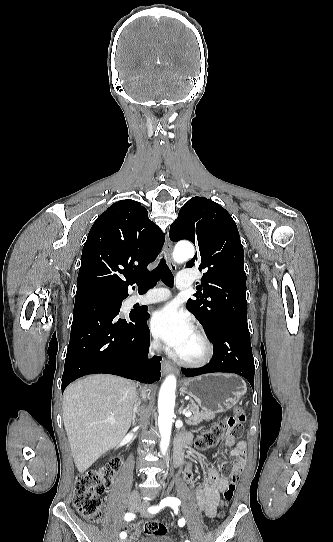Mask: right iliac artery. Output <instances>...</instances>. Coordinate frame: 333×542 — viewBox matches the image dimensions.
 <instances>
[{"label":"right iliac artery","instance_id":"right-iliac-artery-1","mask_svg":"<svg viewBox=\"0 0 333 542\" xmlns=\"http://www.w3.org/2000/svg\"><path fill=\"white\" fill-rule=\"evenodd\" d=\"M124 519H125L126 521L132 520V519H133V514H132V513H126ZM126 536H127V534H126L125 532H121L120 537H121L122 539L126 538Z\"/></svg>","mask_w":333,"mask_h":542}]
</instances>
